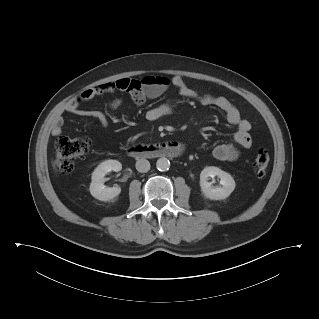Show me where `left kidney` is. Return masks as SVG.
<instances>
[{
	"instance_id": "obj_1",
	"label": "left kidney",
	"mask_w": 319,
	"mask_h": 319,
	"mask_svg": "<svg viewBox=\"0 0 319 319\" xmlns=\"http://www.w3.org/2000/svg\"><path fill=\"white\" fill-rule=\"evenodd\" d=\"M217 176L220 178V184L222 186L214 187L211 182H208L210 178ZM200 187L204 196L211 200H222L227 198L235 188V181L233 177L215 166L205 167L200 173Z\"/></svg>"
}]
</instances>
